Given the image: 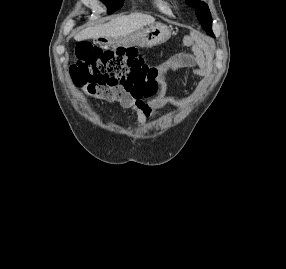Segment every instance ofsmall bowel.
<instances>
[{
    "label": "small bowel",
    "instance_id": "c3829d8e",
    "mask_svg": "<svg viewBox=\"0 0 286 269\" xmlns=\"http://www.w3.org/2000/svg\"><path fill=\"white\" fill-rule=\"evenodd\" d=\"M187 45L191 46V54L174 56L168 66L169 76L175 82L177 81L176 73L184 68L190 69L189 75L192 77H207L210 73L211 55L207 44L202 41H193L188 42ZM91 93H97L129 108L136 115L139 127L143 126L151 117L156 119L163 117L162 108L165 104L163 97H158L153 102L148 103L120 87L110 89L107 92L92 90Z\"/></svg>",
    "mask_w": 286,
    "mask_h": 269
}]
</instances>
